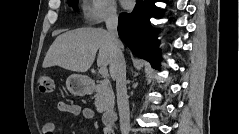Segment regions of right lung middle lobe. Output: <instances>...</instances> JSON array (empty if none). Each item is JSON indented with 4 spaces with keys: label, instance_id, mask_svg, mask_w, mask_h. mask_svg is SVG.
<instances>
[{
    "label": "right lung middle lobe",
    "instance_id": "1",
    "mask_svg": "<svg viewBox=\"0 0 239 134\" xmlns=\"http://www.w3.org/2000/svg\"><path fill=\"white\" fill-rule=\"evenodd\" d=\"M78 0H68V4L72 6L73 8L77 7Z\"/></svg>",
    "mask_w": 239,
    "mask_h": 134
}]
</instances>
